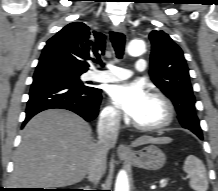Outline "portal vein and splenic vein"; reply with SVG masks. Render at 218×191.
<instances>
[{
    "label": "portal vein and splenic vein",
    "mask_w": 218,
    "mask_h": 191,
    "mask_svg": "<svg viewBox=\"0 0 218 191\" xmlns=\"http://www.w3.org/2000/svg\"><path fill=\"white\" fill-rule=\"evenodd\" d=\"M167 182H168V178L163 179L160 182V188H164L167 185Z\"/></svg>",
    "instance_id": "obj_1"
}]
</instances>
